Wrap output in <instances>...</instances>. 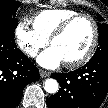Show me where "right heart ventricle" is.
Returning <instances> with one entry per match:
<instances>
[{
	"mask_svg": "<svg viewBox=\"0 0 108 108\" xmlns=\"http://www.w3.org/2000/svg\"><path fill=\"white\" fill-rule=\"evenodd\" d=\"M77 14L75 10L67 8H51L36 13L31 21L34 29L49 39L55 29L67 18Z\"/></svg>",
	"mask_w": 108,
	"mask_h": 108,
	"instance_id": "obj_1",
	"label": "right heart ventricle"
}]
</instances>
